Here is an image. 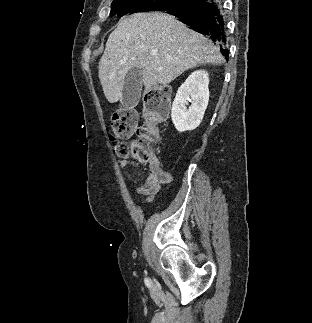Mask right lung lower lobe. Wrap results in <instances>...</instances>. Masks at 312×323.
<instances>
[{
	"label": "right lung lower lobe",
	"mask_w": 312,
	"mask_h": 323,
	"mask_svg": "<svg viewBox=\"0 0 312 323\" xmlns=\"http://www.w3.org/2000/svg\"><path fill=\"white\" fill-rule=\"evenodd\" d=\"M221 2L217 0H189L184 5L167 12L193 30L209 36L228 59L227 27Z\"/></svg>",
	"instance_id": "1"
}]
</instances>
